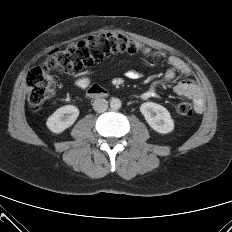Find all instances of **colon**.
I'll list each match as a JSON object with an SVG mask.
<instances>
[{
	"mask_svg": "<svg viewBox=\"0 0 232 232\" xmlns=\"http://www.w3.org/2000/svg\"><path fill=\"white\" fill-rule=\"evenodd\" d=\"M121 52L149 54L151 50L120 32L82 38L54 50L41 65L28 72L26 84L31 108L39 109L55 95L59 80L51 75V71L77 72L102 62L111 54ZM176 110L181 116H190L193 113L192 106L187 101L180 102Z\"/></svg>",
	"mask_w": 232,
	"mask_h": 232,
	"instance_id": "5ec220e1",
	"label": "colon"
}]
</instances>
